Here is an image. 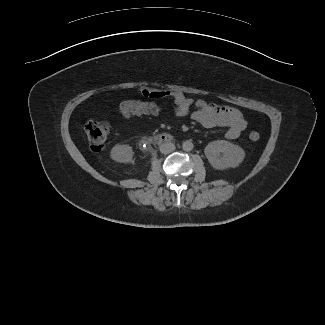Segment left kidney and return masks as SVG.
<instances>
[{
  "instance_id": "left-kidney-1",
  "label": "left kidney",
  "mask_w": 325,
  "mask_h": 325,
  "mask_svg": "<svg viewBox=\"0 0 325 325\" xmlns=\"http://www.w3.org/2000/svg\"><path fill=\"white\" fill-rule=\"evenodd\" d=\"M204 153L211 166L217 170L236 168L245 158V152L240 146L225 140L209 143Z\"/></svg>"
}]
</instances>
